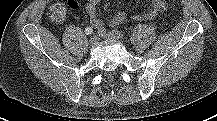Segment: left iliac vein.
<instances>
[{
	"instance_id": "1",
	"label": "left iliac vein",
	"mask_w": 217,
	"mask_h": 121,
	"mask_svg": "<svg viewBox=\"0 0 217 121\" xmlns=\"http://www.w3.org/2000/svg\"><path fill=\"white\" fill-rule=\"evenodd\" d=\"M103 37L106 38V39H109V40H115V41L119 40V37L117 35H115L113 32L105 33L103 35Z\"/></svg>"
}]
</instances>
